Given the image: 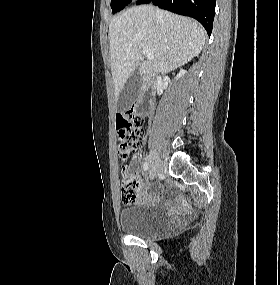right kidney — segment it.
Instances as JSON below:
<instances>
[{
  "label": "right kidney",
  "instance_id": "1",
  "mask_svg": "<svg viewBox=\"0 0 280 285\" xmlns=\"http://www.w3.org/2000/svg\"><path fill=\"white\" fill-rule=\"evenodd\" d=\"M185 74H186V71H185V70H181V71L177 74L176 80L180 79V78L183 77Z\"/></svg>",
  "mask_w": 280,
  "mask_h": 285
}]
</instances>
